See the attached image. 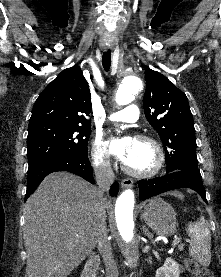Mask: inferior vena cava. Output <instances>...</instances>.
<instances>
[{"instance_id": "obj_1", "label": "inferior vena cava", "mask_w": 221, "mask_h": 277, "mask_svg": "<svg viewBox=\"0 0 221 277\" xmlns=\"http://www.w3.org/2000/svg\"><path fill=\"white\" fill-rule=\"evenodd\" d=\"M94 174L98 185V194L100 196V202L97 205L98 247L106 266V277H118V269L112 254L111 243L107 238L106 199L104 198V193L109 190L111 184L114 182L115 175L108 160L96 164L94 166Z\"/></svg>"}]
</instances>
